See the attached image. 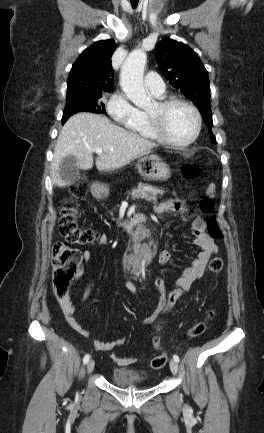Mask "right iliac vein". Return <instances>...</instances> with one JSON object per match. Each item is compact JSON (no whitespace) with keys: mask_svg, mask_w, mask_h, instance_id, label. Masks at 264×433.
<instances>
[{"mask_svg":"<svg viewBox=\"0 0 264 433\" xmlns=\"http://www.w3.org/2000/svg\"><path fill=\"white\" fill-rule=\"evenodd\" d=\"M95 367V361L91 359L87 364V372L91 373L94 370Z\"/></svg>","mask_w":264,"mask_h":433,"instance_id":"right-iliac-vein-1","label":"right iliac vein"}]
</instances>
